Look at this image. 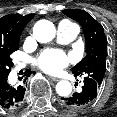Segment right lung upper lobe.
Masks as SVG:
<instances>
[{"mask_svg": "<svg viewBox=\"0 0 117 117\" xmlns=\"http://www.w3.org/2000/svg\"><path fill=\"white\" fill-rule=\"evenodd\" d=\"M34 17V14L25 16L10 14L0 18V50H14L19 47V37Z\"/></svg>", "mask_w": 117, "mask_h": 117, "instance_id": "obj_1", "label": "right lung upper lobe"}]
</instances>
